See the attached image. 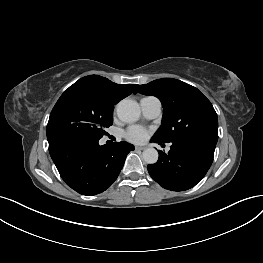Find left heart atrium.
<instances>
[{
  "label": "left heart atrium",
  "instance_id": "39dd6f15",
  "mask_svg": "<svg viewBox=\"0 0 263 263\" xmlns=\"http://www.w3.org/2000/svg\"><path fill=\"white\" fill-rule=\"evenodd\" d=\"M124 136L130 142L141 143L147 138L148 131L140 126H131L125 131Z\"/></svg>",
  "mask_w": 263,
  "mask_h": 263
}]
</instances>
